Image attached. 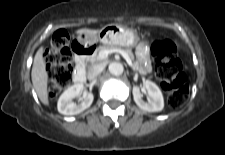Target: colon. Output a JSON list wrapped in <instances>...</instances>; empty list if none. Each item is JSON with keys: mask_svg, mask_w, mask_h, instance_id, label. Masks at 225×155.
I'll list each match as a JSON object with an SVG mask.
<instances>
[{"mask_svg": "<svg viewBox=\"0 0 225 155\" xmlns=\"http://www.w3.org/2000/svg\"><path fill=\"white\" fill-rule=\"evenodd\" d=\"M151 55L156 62V75L168 92V104L172 108H180L188 98L189 84L181 61L177 58L175 44L170 40L155 41L151 45ZM45 60L49 76V94L55 96L72 80V52L67 32L59 30L54 34L46 50Z\"/></svg>", "mask_w": 225, "mask_h": 155, "instance_id": "1", "label": "colon"}]
</instances>
